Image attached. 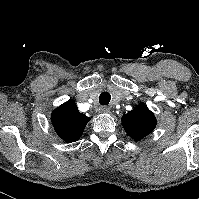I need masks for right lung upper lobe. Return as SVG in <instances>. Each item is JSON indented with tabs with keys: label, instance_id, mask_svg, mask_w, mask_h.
<instances>
[{
	"label": "right lung upper lobe",
	"instance_id": "1",
	"mask_svg": "<svg viewBox=\"0 0 199 199\" xmlns=\"http://www.w3.org/2000/svg\"><path fill=\"white\" fill-rule=\"evenodd\" d=\"M89 120V117L79 112L73 100L65 102L51 114L56 133L66 142L77 141Z\"/></svg>",
	"mask_w": 199,
	"mask_h": 199
}]
</instances>
